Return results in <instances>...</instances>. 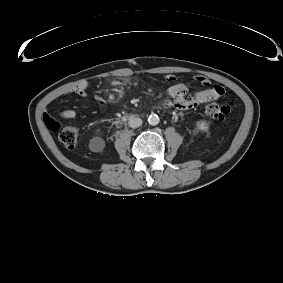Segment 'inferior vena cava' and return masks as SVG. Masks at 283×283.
Listing matches in <instances>:
<instances>
[{
    "label": "inferior vena cava",
    "instance_id": "602c4592",
    "mask_svg": "<svg viewBox=\"0 0 283 283\" xmlns=\"http://www.w3.org/2000/svg\"><path fill=\"white\" fill-rule=\"evenodd\" d=\"M128 124L131 128H138L142 125V119L139 117H130Z\"/></svg>",
    "mask_w": 283,
    "mask_h": 283
}]
</instances>
